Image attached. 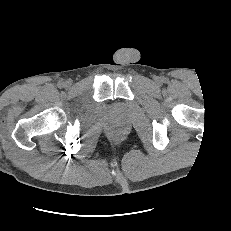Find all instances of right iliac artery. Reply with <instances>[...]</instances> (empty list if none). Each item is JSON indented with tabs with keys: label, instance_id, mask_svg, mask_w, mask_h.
<instances>
[{
	"label": "right iliac artery",
	"instance_id": "obj_1",
	"mask_svg": "<svg viewBox=\"0 0 231 231\" xmlns=\"http://www.w3.org/2000/svg\"><path fill=\"white\" fill-rule=\"evenodd\" d=\"M58 86H59V87H63V86H64V82L60 81V82L58 83Z\"/></svg>",
	"mask_w": 231,
	"mask_h": 231
}]
</instances>
